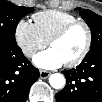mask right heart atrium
Returning a JSON list of instances; mask_svg holds the SVG:
<instances>
[{"label": "right heart atrium", "mask_w": 102, "mask_h": 102, "mask_svg": "<svg viewBox=\"0 0 102 102\" xmlns=\"http://www.w3.org/2000/svg\"><path fill=\"white\" fill-rule=\"evenodd\" d=\"M15 39L23 54L31 57L36 51L44 48L47 41L40 35L33 23L21 19L15 28Z\"/></svg>", "instance_id": "right-heart-atrium-1"}]
</instances>
